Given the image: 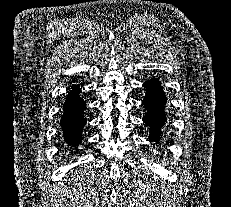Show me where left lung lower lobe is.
I'll list each match as a JSON object with an SVG mask.
<instances>
[{
	"label": "left lung lower lobe",
	"instance_id": "obj_1",
	"mask_svg": "<svg viewBox=\"0 0 231 207\" xmlns=\"http://www.w3.org/2000/svg\"><path fill=\"white\" fill-rule=\"evenodd\" d=\"M147 89V94L142 104L147 109V114L143 117V121L150 126V141H158L161 134V128L166 122V114L164 106L166 96L163 92L161 82L158 79H151L143 85Z\"/></svg>",
	"mask_w": 231,
	"mask_h": 207
}]
</instances>
